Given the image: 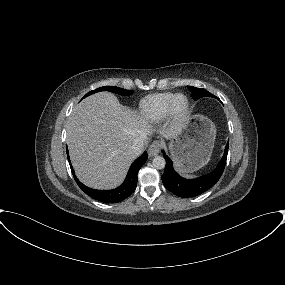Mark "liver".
Returning <instances> with one entry per match:
<instances>
[{
  "mask_svg": "<svg viewBox=\"0 0 285 285\" xmlns=\"http://www.w3.org/2000/svg\"><path fill=\"white\" fill-rule=\"evenodd\" d=\"M66 142L77 177L95 189H112L125 178L137 157L134 139L152 131L149 120L122 106L109 92L91 95L77 104L68 118ZM179 127L161 131L174 138Z\"/></svg>",
  "mask_w": 285,
  "mask_h": 285,
  "instance_id": "liver-1",
  "label": "liver"
}]
</instances>
